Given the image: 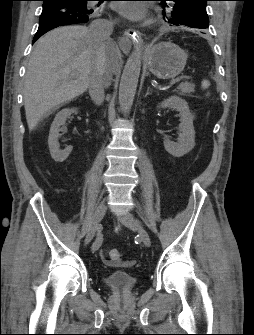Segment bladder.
<instances>
[{
  "label": "bladder",
  "instance_id": "31cf9c89",
  "mask_svg": "<svg viewBox=\"0 0 254 335\" xmlns=\"http://www.w3.org/2000/svg\"><path fill=\"white\" fill-rule=\"evenodd\" d=\"M135 276L131 271L114 270L105 277V283L117 291L130 290L135 284Z\"/></svg>",
  "mask_w": 254,
  "mask_h": 335
}]
</instances>
